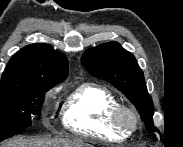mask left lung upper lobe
I'll return each instance as SVG.
<instances>
[{
	"mask_svg": "<svg viewBox=\"0 0 183 147\" xmlns=\"http://www.w3.org/2000/svg\"><path fill=\"white\" fill-rule=\"evenodd\" d=\"M81 60L91 75L111 83L136 106L147 129L159 132L153 125V101L133 54L109 42L87 50Z\"/></svg>",
	"mask_w": 183,
	"mask_h": 147,
	"instance_id": "left-lung-upper-lobe-1",
	"label": "left lung upper lobe"
}]
</instances>
